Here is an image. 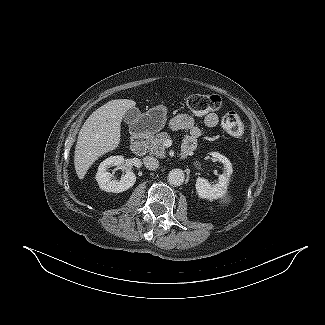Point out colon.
Segmentation results:
<instances>
[{
  "instance_id": "1",
  "label": "colon",
  "mask_w": 325,
  "mask_h": 325,
  "mask_svg": "<svg viewBox=\"0 0 325 325\" xmlns=\"http://www.w3.org/2000/svg\"><path fill=\"white\" fill-rule=\"evenodd\" d=\"M185 103L187 109L195 115L218 111L222 106L221 98L215 94H193L187 97ZM222 124L231 137H243L244 126L237 112L227 111L223 115Z\"/></svg>"
}]
</instances>
